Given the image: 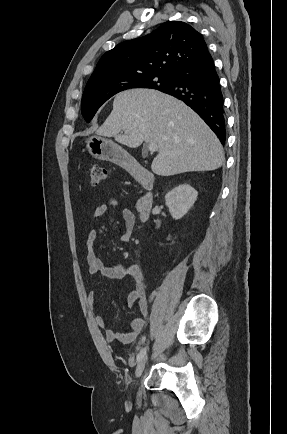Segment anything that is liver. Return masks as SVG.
<instances>
[{
    "mask_svg": "<svg viewBox=\"0 0 287 434\" xmlns=\"http://www.w3.org/2000/svg\"><path fill=\"white\" fill-rule=\"evenodd\" d=\"M96 134L131 148L143 141L156 144L158 154L151 169L159 176L212 171L224 162L222 145L205 122L182 101L156 90L117 94L111 114Z\"/></svg>",
    "mask_w": 287,
    "mask_h": 434,
    "instance_id": "liver-1",
    "label": "liver"
}]
</instances>
